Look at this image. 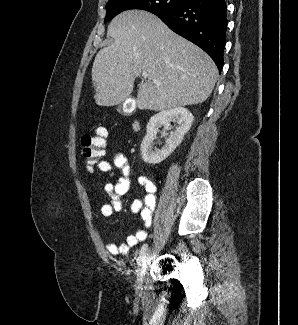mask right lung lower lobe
<instances>
[{"mask_svg":"<svg viewBox=\"0 0 298 325\" xmlns=\"http://www.w3.org/2000/svg\"><path fill=\"white\" fill-rule=\"evenodd\" d=\"M226 11L225 0H188L180 8L155 15L171 30L208 53L221 72L228 22Z\"/></svg>","mask_w":298,"mask_h":325,"instance_id":"98d812e1","label":"right lung lower lobe"}]
</instances>
